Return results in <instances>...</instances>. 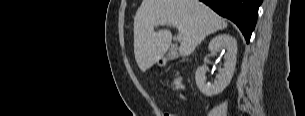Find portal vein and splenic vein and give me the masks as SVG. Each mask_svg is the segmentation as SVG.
Listing matches in <instances>:
<instances>
[{"label":"portal vein and splenic vein","instance_id":"18ae733b","mask_svg":"<svg viewBox=\"0 0 305 116\" xmlns=\"http://www.w3.org/2000/svg\"><path fill=\"white\" fill-rule=\"evenodd\" d=\"M158 24H160V25H165L166 22H165V21H160ZM177 39H182V35H181V34H178V35H177Z\"/></svg>","mask_w":305,"mask_h":116}]
</instances>
